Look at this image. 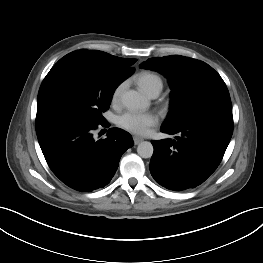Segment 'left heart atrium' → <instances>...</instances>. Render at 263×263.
<instances>
[{
  "label": "left heart atrium",
  "mask_w": 263,
  "mask_h": 263,
  "mask_svg": "<svg viewBox=\"0 0 263 263\" xmlns=\"http://www.w3.org/2000/svg\"><path fill=\"white\" fill-rule=\"evenodd\" d=\"M117 124L132 133L144 135L149 132L150 127L157 123V117L152 113H141L127 111L119 115L116 119Z\"/></svg>",
  "instance_id": "1"
}]
</instances>
